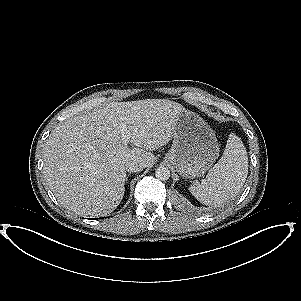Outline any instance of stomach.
I'll list each match as a JSON object with an SVG mask.
<instances>
[{"mask_svg":"<svg viewBox=\"0 0 301 301\" xmlns=\"http://www.w3.org/2000/svg\"><path fill=\"white\" fill-rule=\"evenodd\" d=\"M219 144L213 130L190 112L180 114L166 159L183 178L203 175L216 162Z\"/></svg>","mask_w":301,"mask_h":301,"instance_id":"obj_1","label":"stomach"}]
</instances>
